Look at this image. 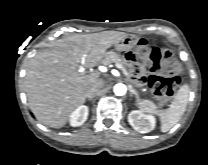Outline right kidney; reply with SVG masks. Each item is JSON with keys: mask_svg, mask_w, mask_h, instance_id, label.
<instances>
[{"mask_svg": "<svg viewBox=\"0 0 208 165\" xmlns=\"http://www.w3.org/2000/svg\"><path fill=\"white\" fill-rule=\"evenodd\" d=\"M88 107L81 105L70 115V125L73 127L82 125L88 117Z\"/></svg>", "mask_w": 208, "mask_h": 165, "instance_id": "ca27d5eb", "label": "right kidney"}]
</instances>
